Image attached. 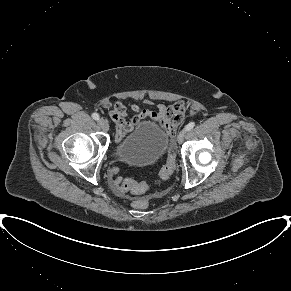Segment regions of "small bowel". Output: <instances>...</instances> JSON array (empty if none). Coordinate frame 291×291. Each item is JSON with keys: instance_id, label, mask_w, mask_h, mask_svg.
Listing matches in <instances>:
<instances>
[{"instance_id": "small-bowel-1", "label": "small bowel", "mask_w": 291, "mask_h": 291, "mask_svg": "<svg viewBox=\"0 0 291 291\" xmlns=\"http://www.w3.org/2000/svg\"><path fill=\"white\" fill-rule=\"evenodd\" d=\"M130 111L121 103L116 102L109 114L116 126L115 142L120 143L125 136L142 120L157 123L167 135H174L183 122L187 104L177 101L174 104H155L149 99H143V105L131 104Z\"/></svg>"}]
</instances>
